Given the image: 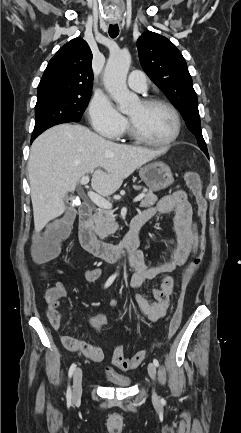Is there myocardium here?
Masks as SVG:
<instances>
[{"label": "myocardium", "instance_id": "f54148a6", "mask_svg": "<svg viewBox=\"0 0 241 433\" xmlns=\"http://www.w3.org/2000/svg\"><path fill=\"white\" fill-rule=\"evenodd\" d=\"M142 105L146 106V107H153V106H163L166 107L174 116L175 119V130L173 135L164 140V141H153L148 139L147 137H145L137 128L136 126L133 124V122L131 121V119L129 118V129H130V133L132 135V137L145 145H149V146H154V147H165L168 145H171L173 142H175L177 140V138L180 135L181 132V117H180V113L178 112V110L176 109V107L171 104L170 102L164 100V99H160V98H152V99H145L141 102Z\"/></svg>", "mask_w": 241, "mask_h": 433}]
</instances>
